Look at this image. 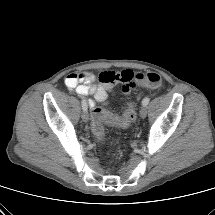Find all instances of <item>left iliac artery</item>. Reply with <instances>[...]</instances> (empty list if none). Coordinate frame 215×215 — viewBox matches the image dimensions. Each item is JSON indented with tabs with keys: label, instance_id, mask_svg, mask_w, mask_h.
Wrapping results in <instances>:
<instances>
[{
	"label": "left iliac artery",
	"instance_id": "obj_1",
	"mask_svg": "<svg viewBox=\"0 0 215 215\" xmlns=\"http://www.w3.org/2000/svg\"><path fill=\"white\" fill-rule=\"evenodd\" d=\"M149 101H150V99H149L148 97H145V98L142 100V105H143V106L148 105V104H149Z\"/></svg>",
	"mask_w": 215,
	"mask_h": 215
}]
</instances>
